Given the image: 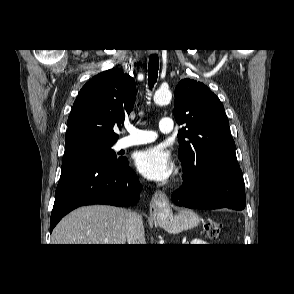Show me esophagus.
Masks as SVG:
<instances>
[{
  "label": "esophagus",
  "instance_id": "1",
  "mask_svg": "<svg viewBox=\"0 0 294 294\" xmlns=\"http://www.w3.org/2000/svg\"><path fill=\"white\" fill-rule=\"evenodd\" d=\"M171 211L169 199L166 194L160 190H156L153 194L150 204V216L156 221L160 216Z\"/></svg>",
  "mask_w": 294,
  "mask_h": 294
}]
</instances>
